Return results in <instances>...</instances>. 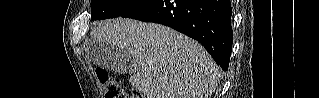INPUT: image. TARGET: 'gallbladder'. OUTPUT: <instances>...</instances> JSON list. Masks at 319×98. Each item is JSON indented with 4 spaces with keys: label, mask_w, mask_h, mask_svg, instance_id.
Returning <instances> with one entry per match:
<instances>
[{
    "label": "gallbladder",
    "mask_w": 319,
    "mask_h": 98,
    "mask_svg": "<svg viewBox=\"0 0 319 98\" xmlns=\"http://www.w3.org/2000/svg\"><path fill=\"white\" fill-rule=\"evenodd\" d=\"M87 55L93 59L94 64L115 72L133 73L136 68V60L130 53L106 44H96L89 48Z\"/></svg>",
    "instance_id": "1"
}]
</instances>
